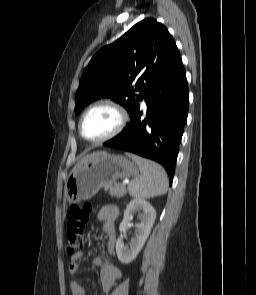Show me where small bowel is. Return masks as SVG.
<instances>
[{
    "label": "small bowel",
    "instance_id": "c3829d8e",
    "mask_svg": "<svg viewBox=\"0 0 256 295\" xmlns=\"http://www.w3.org/2000/svg\"><path fill=\"white\" fill-rule=\"evenodd\" d=\"M119 210L115 206H105L98 213V221L102 224L103 230L108 237L107 249L112 253L115 248L116 230L115 221L118 218ZM82 252H78L72 257L68 266L71 276V292L72 295H86L85 288L76 280V274L79 270L78 260L82 257ZM93 265L100 267V285L103 292L107 293L112 290L116 282L121 277L120 270L111 262L104 258H96Z\"/></svg>",
    "mask_w": 256,
    "mask_h": 295
}]
</instances>
